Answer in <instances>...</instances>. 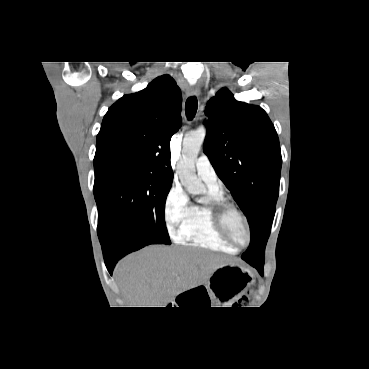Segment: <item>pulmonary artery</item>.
I'll use <instances>...</instances> for the list:
<instances>
[{"label": "pulmonary artery", "instance_id": "obj_1", "mask_svg": "<svg viewBox=\"0 0 369 369\" xmlns=\"http://www.w3.org/2000/svg\"><path fill=\"white\" fill-rule=\"evenodd\" d=\"M198 177L208 186V188L219 190L217 174L209 160L202 154L195 162Z\"/></svg>", "mask_w": 369, "mask_h": 369}]
</instances>
